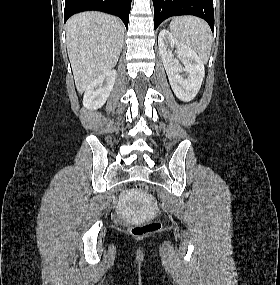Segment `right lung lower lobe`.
Instances as JSON below:
<instances>
[{"mask_svg":"<svg viewBox=\"0 0 280 285\" xmlns=\"http://www.w3.org/2000/svg\"><path fill=\"white\" fill-rule=\"evenodd\" d=\"M132 0H65L64 22L75 13L97 10L116 15L128 28Z\"/></svg>","mask_w":280,"mask_h":285,"instance_id":"1","label":"right lung lower lobe"}]
</instances>
